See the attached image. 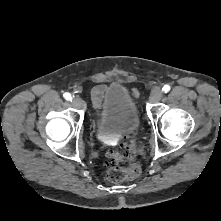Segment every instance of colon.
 Segmentation results:
<instances>
[{
    "mask_svg": "<svg viewBox=\"0 0 221 221\" xmlns=\"http://www.w3.org/2000/svg\"><path fill=\"white\" fill-rule=\"evenodd\" d=\"M134 155V145L132 142L124 143L117 151H112L108 155L109 167L106 171V178L112 183H119L128 179L136 178L141 173L138 164L132 162ZM120 162H129L127 167H121Z\"/></svg>",
    "mask_w": 221,
    "mask_h": 221,
    "instance_id": "1",
    "label": "colon"
}]
</instances>
